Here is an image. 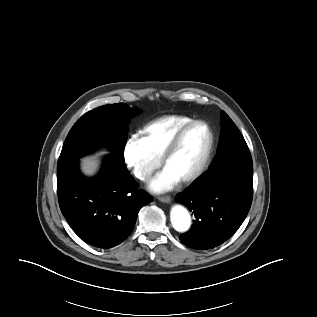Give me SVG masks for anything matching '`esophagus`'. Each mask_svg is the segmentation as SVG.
Listing matches in <instances>:
<instances>
[{
	"instance_id": "34e87169",
	"label": "esophagus",
	"mask_w": 317,
	"mask_h": 317,
	"mask_svg": "<svg viewBox=\"0 0 317 317\" xmlns=\"http://www.w3.org/2000/svg\"><path fill=\"white\" fill-rule=\"evenodd\" d=\"M159 200L163 203H170L171 197L170 196H162V197H159Z\"/></svg>"
}]
</instances>
